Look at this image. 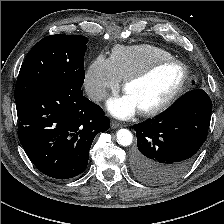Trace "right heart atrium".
<instances>
[{
    "label": "right heart atrium",
    "instance_id": "d8ad5b80",
    "mask_svg": "<svg viewBox=\"0 0 224 224\" xmlns=\"http://www.w3.org/2000/svg\"><path fill=\"white\" fill-rule=\"evenodd\" d=\"M120 83L110 59L101 55L91 62L84 80L87 95L94 102L103 100L109 91L118 90Z\"/></svg>",
    "mask_w": 224,
    "mask_h": 224
}]
</instances>
